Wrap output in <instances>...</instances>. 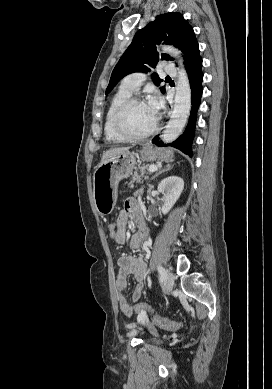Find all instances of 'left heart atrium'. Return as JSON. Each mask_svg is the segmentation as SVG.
I'll return each mask as SVG.
<instances>
[{"instance_id":"39dd6f15","label":"left heart atrium","mask_w":272,"mask_h":389,"mask_svg":"<svg viewBox=\"0 0 272 389\" xmlns=\"http://www.w3.org/2000/svg\"><path fill=\"white\" fill-rule=\"evenodd\" d=\"M148 106H149L151 112L153 113V115L156 117L159 110L162 107V103L157 97L154 96L149 100Z\"/></svg>"}]
</instances>
